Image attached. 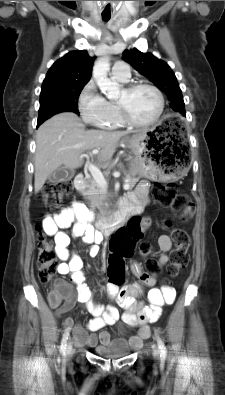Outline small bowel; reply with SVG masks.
Here are the masks:
<instances>
[{
    "label": "small bowel",
    "mask_w": 225,
    "mask_h": 395,
    "mask_svg": "<svg viewBox=\"0 0 225 395\" xmlns=\"http://www.w3.org/2000/svg\"><path fill=\"white\" fill-rule=\"evenodd\" d=\"M149 184L146 181L140 182L135 190L123 200L121 209L127 210L131 215L138 214L148 201ZM92 212L83 204L75 202L70 207L64 209L59 214L49 215L43 219L42 226L44 232L52 236L55 241L56 254L60 259L58 272L63 275H70L72 283L77 286V293L66 300L65 305L57 311L60 315L70 309L75 302L84 304L87 311L93 316L87 323V329L91 334L82 328L81 325H74L72 318L65 320L67 328L74 330V343L76 346H88L101 348L106 346L111 336L106 331H101L97 336L94 334L102 330L105 326L114 325L120 319L126 326H139L138 333L129 338V344L138 348L142 341L150 335L148 323L159 319L164 305H170L175 300V291L171 287H154L157 282V272L155 274L145 272L139 263L131 265L132 272L138 277L139 283L123 288H113L109 283L106 286V293L110 300L121 307L124 312L120 316L116 306L106 307L98 304L90 290L83 273V262L81 258L69 250L70 237L63 229L73 226V234L81 237L85 244L89 245V254L96 256L99 251V244L102 241L101 234L96 232L90 225ZM151 224L149 218H144L141 222L143 230ZM160 255L157 259V268L164 267L168 261V252L172 247L171 239L168 235H161L158 238ZM141 284L151 287L147 293L150 302L148 307L139 304L134 296L142 294ZM99 343V345H98Z\"/></svg>",
    "instance_id": "obj_1"
}]
</instances>
